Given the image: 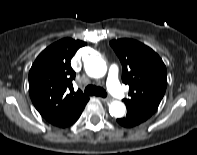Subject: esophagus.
<instances>
[{"label":"esophagus","mask_w":197,"mask_h":155,"mask_svg":"<svg viewBox=\"0 0 197 155\" xmlns=\"http://www.w3.org/2000/svg\"><path fill=\"white\" fill-rule=\"evenodd\" d=\"M100 100L107 103L111 101V99L109 98H100Z\"/></svg>","instance_id":"obj_1"}]
</instances>
